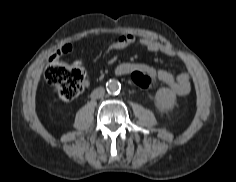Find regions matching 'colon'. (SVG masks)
I'll use <instances>...</instances> for the list:
<instances>
[{
    "instance_id": "1",
    "label": "colon",
    "mask_w": 236,
    "mask_h": 182,
    "mask_svg": "<svg viewBox=\"0 0 236 182\" xmlns=\"http://www.w3.org/2000/svg\"><path fill=\"white\" fill-rule=\"evenodd\" d=\"M44 76L55 93L64 101L78 97L86 86V71L80 63L67 64L56 56L49 59ZM132 83L140 89H148L152 78L145 72L134 69L130 71Z\"/></svg>"
}]
</instances>
